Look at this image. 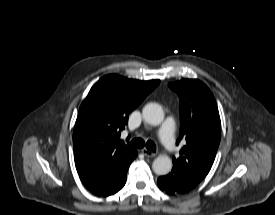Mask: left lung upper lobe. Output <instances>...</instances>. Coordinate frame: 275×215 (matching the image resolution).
<instances>
[{"label":"left lung upper lobe","mask_w":275,"mask_h":215,"mask_svg":"<svg viewBox=\"0 0 275 215\" xmlns=\"http://www.w3.org/2000/svg\"><path fill=\"white\" fill-rule=\"evenodd\" d=\"M180 99L182 138L186 145L173 166L204 179L213 164L221 135V122L216 101L209 88L199 80L186 79L169 84Z\"/></svg>","instance_id":"left-lung-upper-lobe-1"}]
</instances>
